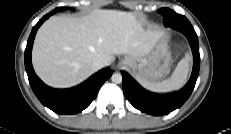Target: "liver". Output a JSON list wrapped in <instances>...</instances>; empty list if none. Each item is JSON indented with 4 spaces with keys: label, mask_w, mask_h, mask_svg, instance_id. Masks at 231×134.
Returning <instances> with one entry per match:
<instances>
[{
    "label": "liver",
    "mask_w": 231,
    "mask_h": 134,
    "mask_svg": "<svg viewBox=\"0 0 231 134\" xmlns=\"http://www.w3.org/2000/svg\"><path fill=\"white\" fill-rule=\"evenodd\" d=\"M164 35L144 29L129 12L95 10L81 18L55 16L38 30L32 62L36 74L48 85L73 87L92 75L94 61L110 65L115 55L140 57Z\"/></svg>",
    "instance_id": "6515ba94"
}]
</instances>
